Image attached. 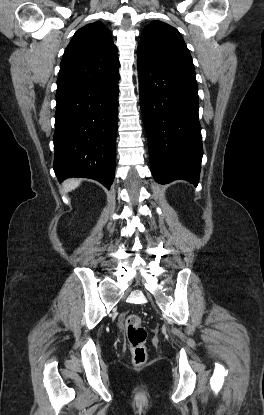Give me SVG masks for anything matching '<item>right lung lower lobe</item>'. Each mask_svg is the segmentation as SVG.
<instances>
[{
  "label": "right lung lower lobe",
  "mask_w": 264,
  "mask_h": 415,
  "mask_svg": "<svg viewBox=\"0 0 264 415\" xmlns=\"http://www.w3.org/2000/svg\"><path fill=\"white\" fill-rule=\"evenodd\" d=\"M119 74L57 91L53 169L60 181L85 177L110 187L115 176Z\"/></svg>",
  "instance_id": "right-lung-lower-lobe-1"
}]
</instances>
